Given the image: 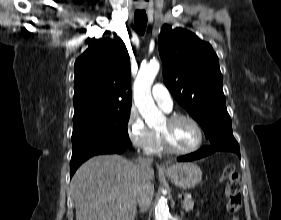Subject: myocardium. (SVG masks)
<instances>
[{
    "label": "myocardium",
    "instance_id": "obj_1",
    "mask_svg": "<svg viewBox=\"0 0 281 220\" xmlns=\"http://www.w3.org/2000/svg\"><path fill=\"white\" fill-rule=\"evenodd\" d=\"M166 120L169 124H173L180 120H187V121L191 122L197 130L198 140H197V143L192 148L187 149V150H179V149L174 148L171 145L166 133L158 131L157 132L158 138H159L160 144L165 152L174 154V155H189V154H192V153L198 151L201 148V146L203 144V140H204V133H203V129H202L200 123L194 117L187 115V114L176 113V114H172V115L168 116Z\"/></svg>",
    "mask_w": 281,
    "mask_h": 220
}]
</instances>
